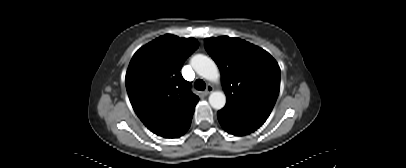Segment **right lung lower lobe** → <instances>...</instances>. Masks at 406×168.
<instances>
[{
    "instance_id": "1",
    "label": "right lung lower lobe",
    "mask_w": 406,
    "mask_h": 168,
    "mask_svg": "<svg viewBox=\"0 0 406 168\" xmlns=\"http://www.w3.org/2000/svg\"><path fill=\"white\" fill-rule=\"evenodd\" d=\"M192 116L183 125H181L174 133H172L170 138H178L181 135H183L188 130L191 124Z\"/></svg>"
}]
</instances>
